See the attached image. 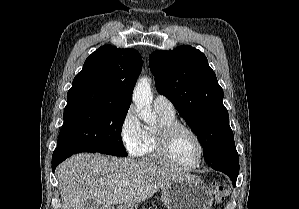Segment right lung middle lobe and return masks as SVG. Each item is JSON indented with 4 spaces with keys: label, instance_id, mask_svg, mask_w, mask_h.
Returning <instances> with one entry per match:
<instances>
[{
    "label": "right lung middle lobe",
    "instance_id": "right-lung-middle-lobe-1",
    "mask_svg": "<svg viewBox=\"0 0 299 209\" xmlns=\"http://www.w3.org/2000/svg\"><path fill=\"white\" fill-rule=\"evenodd\" d=\"M128 109L105 105L66 106L57 147L127 156L121 128Z\"/></svg>",
    "mask_w": 299,
    "mask_h": 209
}]
</instances>
